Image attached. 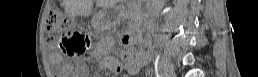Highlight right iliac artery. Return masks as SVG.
I'll use <instances>...</instances> for the list:
<instances>
[{
	"mask_svg": "<svg viewBox=\"0 0 258 77\" xmlns=\"http://www.w3.org/2000/svg\"><path fill=\"white\" fill-rule=\"evenodd\" d=\"M157 77H161V76L157 73Z\"/></svg>",
	"mask_w": 258,
	"mask_h": 77,
	"instance_id": "1",
	"label": "right iliac artery"
}]
</instances>
